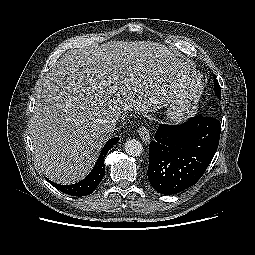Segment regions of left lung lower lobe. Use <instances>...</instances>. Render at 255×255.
<instances>
[{
	"label": "left lung lower lobe",
	"instance_id": "left-lung-lower-lobe-1",
	"mask_svg": "<svg viewBox=\"0 0 255 255\" xmlns=\"http://www.w3.org/2000/svg\"><path fill=\"white\" fill-rule=\"evenodd\" d=\"M221 123L196 116L178 125H160L149 145L148 179L166 195L194 185L204 174L218 148Z\"/></svg>",
	"mask_w": 255,
	"mask_h": 255
}]
</instances>
